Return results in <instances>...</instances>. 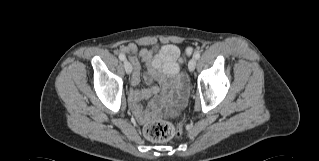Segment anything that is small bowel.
I'll list each match as a JSON object with an SVG mask.
<instances>
[{
    "label": "small bowel",
    "mask_w": 319,
    "mask_h": 161,
    "mask_svg": "<svg viewBox=\"0 0 319 161\" xmlns=\"http://www.w3.org/2000/svg\"><path fill=\"white\" fill-rule=\"evenodd\" d=\"M137 46L135 43H128L120 48V52L123 55H128V59L133 65V77L131 83L133 86H137L140 82V63L135 53ZM140 57L148 62L145 71V80L150 86L142 90H133L129 93L130 105L135 116L141 121L157 118V108L162 102H169L181 107L184 103L183 93L185 86L182 82L184 74L179 72L175 60L179 57V50L174 45H165L161 48L159 55L150 60L151 54L147 49L140 51ZM163 67L166 72L171 75H178L180 81L176 83L175 88L164 87L160 89L158 86L153 85L154 80L157 78V69ZM161 91V98L157 99L152 109L148 112H144L139 104V101L143 98L152 97Z\"/></svg>",
    "instance_id": "obj_1"
}]
</instances>
